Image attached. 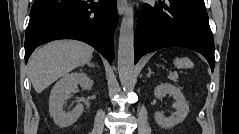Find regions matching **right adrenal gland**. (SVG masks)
Masks as SVG:
<instances>
[{
  "mask_svg": "<svg viewBox=\"0 0 239 134\" xmlns=\"http://www.w3.org/2000/svg\"><path fill=\"white\" fill-rule=\"evenodd\" d=\"M87 65L90 66V67H94V64L91 63V61H89V62L87 63Z\"/></svg>",
  "mask_w": 239,
  "mask_h": 134,
  "instance_id": "right-adrenal-gland-1",
  "label": "right adrenal gland"
}]
</instances>
